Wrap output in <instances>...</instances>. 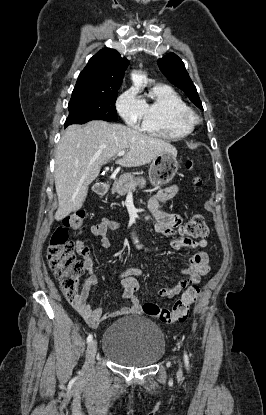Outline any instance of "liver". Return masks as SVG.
Listing matches in <instances>:
<instances>
[{"label": "liver", "mask_w": 266, "mask_h": 415, "mask_svg": "<svg viewBox=\"0 0 266 415\" xmlns=\"http://www.w3.org/2000/svg\"><path fill=\"white\" fill-rule=\"evenodd\" d=\"M123 150L127 153L117 163L124 167L148 164L162 152L177 155L173 145L120 124L95 120L66 129L55 157L57 221L83 206L88 186L97 178L101 166Z\"/></svg>", "instance_id": "1"}]
</instances>
